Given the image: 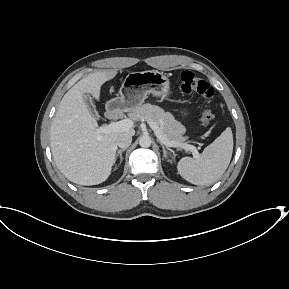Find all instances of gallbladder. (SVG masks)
I'll use <instances>...</instances> for the list:
<instances>
[{
  "instance_id": "1",
  "label": "gallbladder",
  "mask_w": 289,
  "mask_h": 289,
  "mask_svg": "<svg viewBox=\"0 0 289 289\" xmlns=\"http://www.w3.org/2000/svg\"><path fill=\"white\" fill-rule=\"evenodd\" d=\"M84 100H85V103H86V106H87L89 112L92 114L93 117H95L97 119L98 118V114L96 112L95 106H94V104L92 102V99H91L90 95L85 93L84 94Z\"/></svg>"
}]
</instances>
